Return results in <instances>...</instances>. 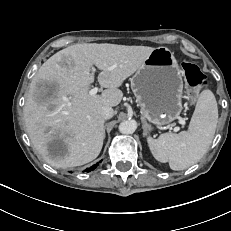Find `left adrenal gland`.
I'll list each match as a JSON object with an SVG mask.
<instances>
[{"label": "left adrenal gland", "mask_w": 231, "mask_h": 231, "mask_svg": "<svg viewBox=\"0 0 231 231\" xmlns=\"http://www.w3.org/2000/svg\"><path fill=\"white\" fill-rule=\"evenodd\" d=\"M142 122H143V129H144L143 136H145L146 132H147V128H149V125L147 124V122L144 119H142Z\"/></svg>", "instance_id": "obj_1"}]
</instances>
